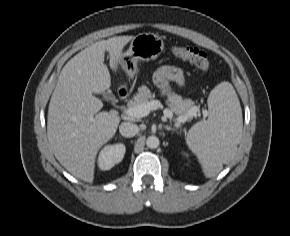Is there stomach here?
<instances>
[{
	"mask_svg": "<svg viewBox=\"0 0 290 236\" xmlns=\"http://www.w3.org/2000/svg\"><path fill=\"white\" fill-rule=\"evenodd\" d=\"M163 50L161 37L153 33H140L131 40L128 50L122 54L120 66L132 78L138 70V61L155 60Z\"/></svg>",
	"mask_w": 290,
	"mask_h": 236,
	"instance_id": "0dacf381",
	"label": "stomach"
}]
</instances>
